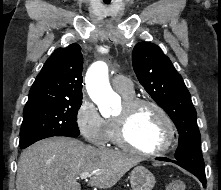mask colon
Listing matches in <instances>:
<instances>
[{"instance_id":"1","label":"colon","mask_w":221,"mask_h":190,"mask_svg":"<svg viewBox=\"0 0 221 190\" xmlns=\"http://www.w3.org/2000/svg\"><path fill=\"white\" fill-rule=\"evenodd\" d=\"M166 190H186V185L181 180H175L167 184Z\"/></svg>"}]
</instances>
